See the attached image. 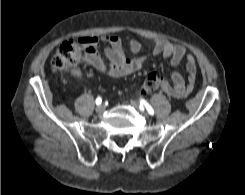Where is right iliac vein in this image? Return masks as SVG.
Masks as SVG:
<instances>
[{
    "label": "right iliac vein",
    "mask_w": 245,
    "mask_h": 195,
    "mask_svg": "<svg viewBox=\"0 0 245 195\" xmlns=\"http://www.w3.org/2000/svg\"><path fill=\"white\" fill-rule=\"evenodd\" d=\"M105 111V106L104 105H99L97 108H96V112L98 114H103Z\"/></svg>",
    "instance_id": "1"
}]
</instances>
